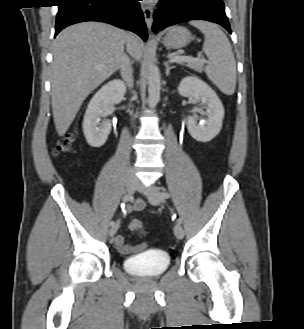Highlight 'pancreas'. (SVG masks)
I'll use <instances>...</instances> for the list:
<instances>
[{
  "instance_id": "1",
  "label": "pancreas",
  "mask_w": 304,
  "mask_h": 329,
  "mask_svg": "<svg viewBox=\"0 0 304 329\" xmlns=\"http://www.w3.org/2000/svg\"><path fill=\"white\" fill-rule=\"evenodd\" d=\"M181 65H185L194 71L201 72L203 69V64L200 62H178Z\"/></svg>"
}]
</instances>
